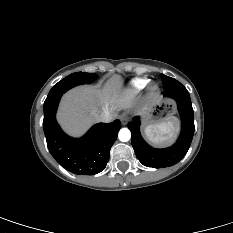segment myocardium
<instances>
[{"label": "myocardium", "instance_id": "1", "mask_svg": "<svg viewBox=\"0 0 233 233\" xmlns=\"http://www.w3.org/2000/svg\"><path fill=\"white\" fill-rule=\"evenodd\" d=\"M158 90V87L156 85L152 86L151 92L155 93Z\"/></svg>", "mask_w": 233, "mask_h": 233}]
</instances>
